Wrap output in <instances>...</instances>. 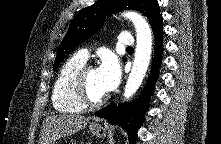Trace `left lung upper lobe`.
Listing matches in <instances>:
<instances>
[{
    "label": "left lung upper lobe",
    "instance_id": "1",
    "mask_svg": "<svg viewBox=\"0 0 221 144\" xmlns=\"http://www.w3.org/2000/svg\"><path fill=\"white\" fill-rule=\"evenodd\" d=\"M126 9L142 12L152 26L161 17L157 0H97L92 6L81 9L70 23L69 30L58 48L53 69L80 43L100 29L106 15Z\"/></svg>",
    "mask_w": 221,
    "mask_h": 144
}]
</instances>
